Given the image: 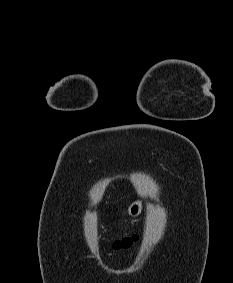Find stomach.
<instances>
[{
	"label": "stomach",
	"instance_id": "stomach-1",
	"mask_svg": "<svg viewBox=\"0 0 233 283\" xmlns=\"http://www.w3.org/2000/svg\"><path fill=\"white\" fill-rule=\"evenodd\" d=\"M142 202L141 201H136L134 203H132L129 207V215L132 216V217H136L138 216L141 211H142Z\"/></svg>",
	"mask_w": 233,
	"mask_h": 283
}]
</instances>
